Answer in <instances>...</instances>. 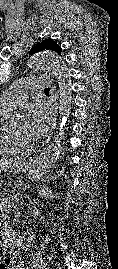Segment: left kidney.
Listing matches in <instances>:
<instances>
[{
    "label": "left kidney",
    "mask_w": 118,
    "mask_h": 269,
    "mask_svg": "<svg viewBox=\"0 0 118 269\" xmlns=\"http://www.w3.org/2000/svg\"><path fill=\"white\" fill-rule=\"evenodd\" d=\"M39 195L41 197H44L46 199H50L52 200L54 197H53V193L52 191H50L47 187L45 186H42L40 187L39 191H38ZM44 221V220H43Z\"/></svg>",
    "instance_id": "left-kidney-1"
}]
</instances>
